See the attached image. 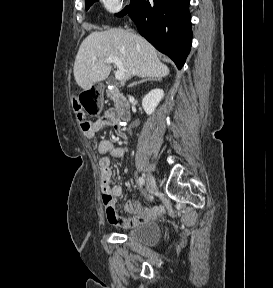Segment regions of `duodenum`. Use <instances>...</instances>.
<instances>
[{
    "label": "duodenum",
    "instance_id": "obj_1",
    "mask_svg": "<svg viewBox=\"0 0 273 288\" xmlns=\"http://www.w3.org/2000/svg\"><path fill=\"white\" fill-rule=\"evenodd\" d=\"M108 95L115 104L116 113L120 121H128L131 117L130 104L128 100L117 88L114 87L108 90Z\"/></svg>",
    "mask_w": 273,
    "mask_h": 288
}]
</instances>
